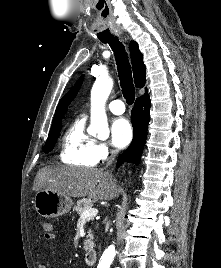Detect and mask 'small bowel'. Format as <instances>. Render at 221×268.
Here are the masks:
<instances>
[{
	"mask_svg": "<svg viewBox=\"0 0 221 268\" xmlns=\"http://www.w3.org/2000/svg\"><path fill=\"white\" fill-rule=\"evenodd\" d=\"M44 239L47 242H52L56 239V234L53 232V228L49 232H45ZM44 256H45V250L42 248L38 249L37 257L40 261L38 262L37 268H48L47 265L43 261H41V259H43Z\"/></svg>",
	"mask_w": 221,
	"mask_h": 268,
	"instance_id": "c3829d8e",
	"label": "small bowel"
}]
</instances>
